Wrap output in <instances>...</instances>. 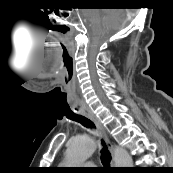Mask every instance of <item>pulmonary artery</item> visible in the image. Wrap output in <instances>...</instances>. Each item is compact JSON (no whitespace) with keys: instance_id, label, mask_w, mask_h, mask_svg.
I'll return each instance as SVG.
<instances>
[{"instance_id":"obj_1","label":"pulmonary artery","mask_w":173,"mask_h":173,"mask_svg":"<svg viewBox=\"0 0 173 173\" xmlns=\"http://www.w3.org/2000/svg\"><path fill=\"white\" fill-rule=\"evenodd\" d=\"M93 163H87L86 167L87 169H92Z\"/></svg>"}]
</instances>
